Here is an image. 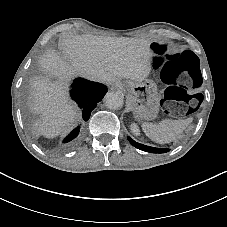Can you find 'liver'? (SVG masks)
<instances>
[{
	"instance_id": "1",
	"label": "liver",
	"mask_w": 227,
	"mask_h": 227,
	"mask_svg": "<svg viewBox=\"0 0 227 227\" xmlns=\"http://www.w3.org/2000/svg\"><path fill=\"white\" fill-rule=\"evenodd\" d=\"M152 42L128 37L97 35L72 36L62 41L64 57L51 51L40 61L50 75H68L69 63L83 76L108 84H118L121 77L144 82L153 68ZM34 108L44 116L42 133L59 134L76 115L75 106L67 103L61 86L46 78L31 81Z\"/></svg>"
}]
</instances>
